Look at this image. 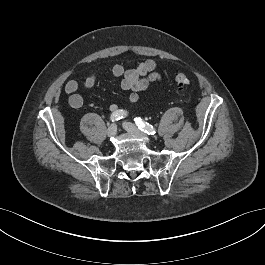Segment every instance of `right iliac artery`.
I'll list each match as a JSON object with an SVG mask.
<instances>
[{"label": "right iliac artery", "mask_w": 265, "mask_h": 265, "mask_svg": "<svg viewBox=\"0 0 265 265\" xmlns=\"http://www.w3.org/2000/svg\"><path fill=\"white\" fill-rule=\"evenodd\" d=\"M126 116H127V112L121 109V110H117V111L113 112L110 116V120L112 122H115V121H118L122 118H125Z\"/></svg>", "instance_id": "obj_1"}]
</instances>
